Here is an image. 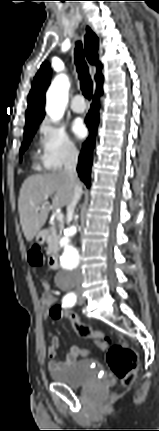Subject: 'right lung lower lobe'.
<instances>
[{"mask_svg": "<svg viewBox=\"0 0 159 431\" xmlns=\"http://www.w3.org/2000/svg\"><path fill=\"white\" fill-rule=\"evenodd\" d=\"M101 85L102 82L98 84L97 92L93 97V104L86 117V124L91 132V135L83 144L77 167L78 175L87 187L90 186V173L93 161L92 154L95 144V133L99 122V95L102 93V90L100 89Z\"/></svg>", "mask_w": 159, "mask_h": 431, "instance_id": "98d812e1", "label": "right lung lower lobe"}]
</instances>
